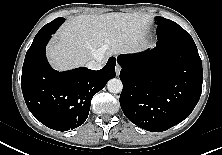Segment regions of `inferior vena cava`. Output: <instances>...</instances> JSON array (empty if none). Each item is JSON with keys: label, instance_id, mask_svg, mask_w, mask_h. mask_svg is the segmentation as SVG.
<instances>
[{"label": "inferior vena cava", "instance_id": "inferior-vena-cava-1", "mask_svg": "<svg viewBox=\"0 0 222 155\" xmlns=\"http://www.w3.org/2000/svg\"><path fill=\"white\" fill-rule=\"evenodd\" d=\"M104 60H91L86 64V67L91 70H100L104 66Z\"/></svg>", "mask_w": 222, "mask_h": 155}]
</instances>
